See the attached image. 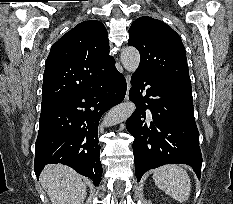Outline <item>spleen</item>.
Here are the masks:
<instances>
[{
    "instance_id": "spleen-1",
    "label": "spleen",
    "mask_w": 233,
    "mask_h": 204,
    "mask_svg": "<svg viewBox=\"0 0 233 204\" xmlns=\"http://www.w3.org/2000/svg\"><path fill=\"white\" fill-rule=\"evenodd\" d=\"M155 185L179 202L187 201L191 192V180L179 165H165L153 172Z\"/></svg>"
}]
</instances>
